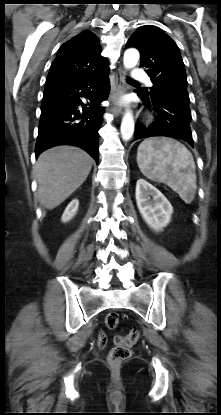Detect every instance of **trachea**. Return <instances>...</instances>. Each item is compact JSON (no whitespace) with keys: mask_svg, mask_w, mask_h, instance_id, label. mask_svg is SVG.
<instances>
[{"mask_svg":"<svg viewBox=\"0 0 221 415\" xmlns=\"http://www.w3.org/2000/svg\"><path fill=\"white\" fill-rule=\"evenodd\" d=\"M129 81H130V82H132V83H137L136 81H134V80H132V79H129Z\"/></svg>","mask_w":221,"mask_h":415,"instance_id":"3493384b","label":"trachea"}]
</instances>
